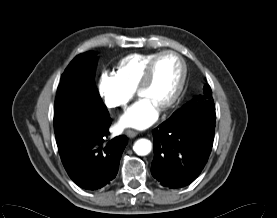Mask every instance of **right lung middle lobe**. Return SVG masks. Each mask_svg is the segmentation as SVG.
<instances>
[{"instance_id":"obj_1","label":"right lung middle lobe","mask_w":277,"mask_h":218,"mask_svg":"<svg viewBox=\"0 0 277 218\" xmlns=\"http://www.w3.org/2000/svg\"><path fill=\"white\" fill-rule=\"evenodd\" d=\"M96 65V53L86 52L76 56L62 74L58 88L78 85L80 93L73 98L56 95L54 131L58 146L109 114L94 84Z\"/></svg>"}]
</instances>
